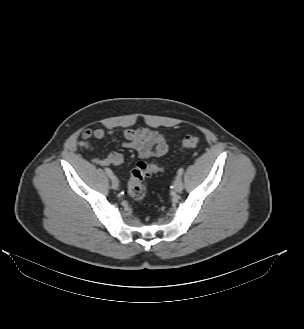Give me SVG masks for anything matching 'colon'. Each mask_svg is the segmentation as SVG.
<instances>
[{"mask_svg":"<svg viewBox=\"0 0 304 329\" xmlns=\"http://www.w3.org/2000/svg\"><path fill=\"white\" fill-rule=\"evenodd\" d=\"M200 142L201 139L199 136L187 135L182 139L180 148H193L199 145ZM165 170V166L156 162H138L134 169L131 171L128 184L129 196L137 202L143 201L147 194V188L143 182L144 179L156 174L164 173Z\"/></svg>","mask_w":304,"mask_h":329,"instance_id":"obj_1","label":"colon"}]
</instances>
